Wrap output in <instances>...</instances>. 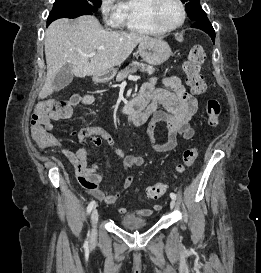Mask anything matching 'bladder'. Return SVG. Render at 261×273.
I'll return each instance as SVG.
<instances>
[{"instance_id":"1","label":"bladder","mask_w":261,"mask_h":273,"mask_svg":"<svg viewBox=\"0 0 261 273\" xmlns=\"http://www.w3.org/2000/svg\"><path fill=\"white\" fill-rule=\"evenodd\" d=\"M119 224L126 229L137 230L147 227L149 222L137 214L128 213L119 219Z\"/></svg>"}]
</instances>
